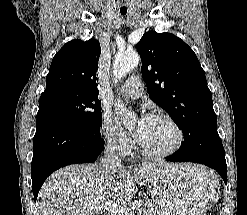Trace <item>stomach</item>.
I'll list each match as a JSON object with an SVG mask.
<instances>
[{
  "label": "stomach",
  "mask_w": 247,
  "mask_h": 215,
  "mask_svg": "<svg viewBox=\"0 0 247 215\" xmlns=\"http://www.w3.org/2000/svg\"><path fill=\"white\" fill-rule=\"evenodd\" d=\"M173 165L158 171L151 200L159 215H204L218 196L219 181L202 166Z\"/></svg>",
  "instance_id": "1"
}]
</instances>
